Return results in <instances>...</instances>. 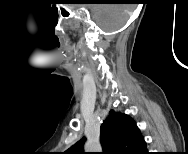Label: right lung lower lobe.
I'll return each mask as SVG.
<instances>
[{
    "instance_id": "98d812e1",
    "label": "right lung lower lobe",
    "mask_w": 188,
    "mask_h": 154,
    "mask_svg": "<svg viewBox=\"0 0 188 154\" xmlns=\"http://www.w3.org/2000/svg\"><path fill=\"white\" fill-rule=\"evenodd\" d=\"M148 152H147V149L143 152V154H147Z\"/></svg>"
}]
</instances>
